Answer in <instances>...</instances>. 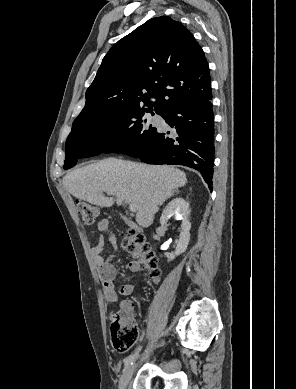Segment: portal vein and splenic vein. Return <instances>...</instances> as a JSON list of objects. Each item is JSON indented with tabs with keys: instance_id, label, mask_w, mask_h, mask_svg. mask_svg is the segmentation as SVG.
<instances>
[{
	"instance_id": "1",
	"label": "portal vein and splenic vein",
	"mask_w": 296,
	"mask_h": 389,
	"mask_svg": "<svg viewBox=\"0 0 296 389\" xmlns=\"http://www.w3.org/2000/svg\"><path fill=\"white\" fill-rule=\"evenodd\" d=\"M129 209L131 212H136V207L133 204H129Z\"/></svg>"
}]
</instances>
